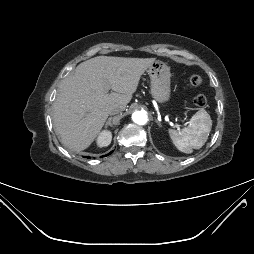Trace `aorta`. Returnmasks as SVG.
<instances>
[{"mask_svg": "<svg viewBox=\"0 0 254 254\" xmlns=\"http://www.w3.org/2000/svg\"><path fill=\"white\" fill-rule=\"evenodd\" d=\"M133 121L138 125H145L148 121L147 114L144 111H136L132 114Z\"/></svg>", "mask_w": 254, "mask_h": 254, "instance_id": "obj_1", "label": "aorta"}]
</instances>
